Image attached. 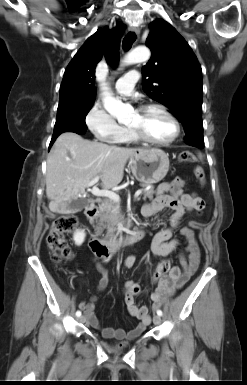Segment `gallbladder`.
I'll return each instance as SVG.
<instances>
[{
  "label": "gallbladder",
  "instance_id": "gallbladder-1",
  "mask_svg": "<svg viewBox=\"0 0 247 385\" xmlns=\"http://www.w3.org/2000/svg\"><path fill=\"white\" fill-rule=\"evenodd\" d=\"M90 201L85 198H79L77 200H72L67 206V213H76L85 208Z\"/></svg>",
  "mask_w": 247,
  "mask_h": 385
}]
</instances>
